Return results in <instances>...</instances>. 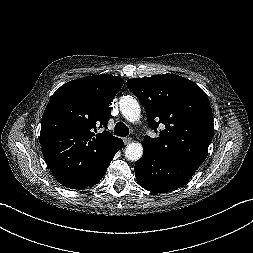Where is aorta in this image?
<instances>
[{"label":"aorta","mask_w":253,"mask_h":253,"mask_svg":"<svg viewBox=\"0 0 253 253\" xmlns=\"http://www.w3.org/2000/svg\"><path fill=\"white\" fill-rule=\"evenodd\" d=\"M120 111L129 122L140 118V105L132 96H123L119 101ZM143 155V146L139 142H132L125 149V157L130 161H137Z\"/></svg>","instance_id":"762f6f07"}]
</instances>
